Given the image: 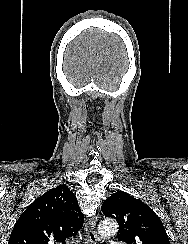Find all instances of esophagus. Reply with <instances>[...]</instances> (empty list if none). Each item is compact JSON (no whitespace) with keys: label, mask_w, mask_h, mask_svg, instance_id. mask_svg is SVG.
<instances>
[{"label":"esophagus","mask_w":188,"mask_h":244,"mask_svg":"<svg viewBox=\"0 0 188 244\" xmlns=\"http://www.w3.org/2000/svg\"><path fill=\"white\" fill-rule=\"evenodd\" d=\"M97 217L92 218L84 227L87 244H99V237L95 230Z\"/></svg>","instance_id":"34e87169"}]
</instances>
